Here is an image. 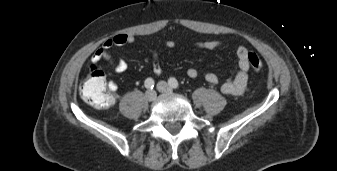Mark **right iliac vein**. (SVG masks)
I'll use <instances>...</instances> for the list:
<instances>
[{"mask_svg":"<svg viewBox=\"0 0 337 171\" xmlns=\"http://www.w3.org/2000/svg\"><path fill=\"white\" fill-rule=\"evenodd\" d=\"M156 92L154 90H149L145 93V98L148 101H154L156 99Z\"/></svg>","mask_w":337,"mask_h":171,"instance_id":"63e3f726","label":"right iliac vein"}]
</instances>
